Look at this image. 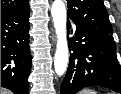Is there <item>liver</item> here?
<instances>
[{"label":"liver","mask_w":121,"mask_h":94,"mask_svg":"<svg viewBox=\"0 0 121 94\" xmlns=\"http://www.w3.org/2000/svg\"><path fill=\"white\" fill-rule=\"evenodd\" d=\"M1 94H12L9 90L1 88Z\"/></svg>","instance_id":"obj_1"}]
</instances>
